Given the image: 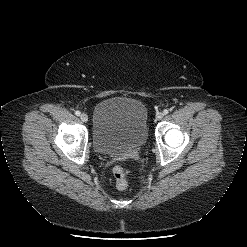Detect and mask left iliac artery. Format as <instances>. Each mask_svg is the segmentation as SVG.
<instances>
[{"label": "left iliac artery", "instance_id": "44dca946", "mask_svg": "<svg viewBox=\"0 0 247 247\" xmlns=\"http://www.w3.org/2000/svg\"><path fill=\"white\" fill-rule=\"evenodd\" d=\"M163 113L166 115V114L169 113V110H168V109H165V110L163 111Z\"/></svg>", "mask_w": 247, "mask_h": 247}]
</instances>
